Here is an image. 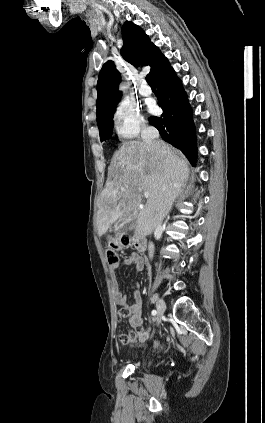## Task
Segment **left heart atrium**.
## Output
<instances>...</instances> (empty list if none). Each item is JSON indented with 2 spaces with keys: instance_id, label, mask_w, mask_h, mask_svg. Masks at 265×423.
Returning <instances> with one entry per match:
<instances>
[{
  "instance_id": "obj_1",
  "label": "left heart atrium",
  "mask_w": 265,
  "mask_h": 423,
  "mask_svg": "<svg viewBox=\"0 0 265 423\" xmlns=\"http://www.w3.org/2000/svg\"><path fill=\"white\" fill-rule=\"evenodd\" d=\"M155 109H156V108H155V106H154V105H151V106H150V110H151V111H155Z\"/></svg>"
}]
</instances>
